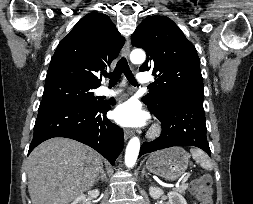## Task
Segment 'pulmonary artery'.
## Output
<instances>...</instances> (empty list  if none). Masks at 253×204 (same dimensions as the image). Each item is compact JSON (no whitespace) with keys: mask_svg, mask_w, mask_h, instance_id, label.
Listing matches in <instances>:
<instances>
[{"mask_svg":"<svg viewBox=\"0 0 253 204\" xmlns=\"http://www.w3.org/2000/svg\"><path fill=\"white\" fill-rule=\"evenodd\" d=\"M137 81L140 85L142 86H147L151 83V77L148 73H138L137 74ZM121 89L118 90H112V89H108L107 87H101L98 91L99 95L102 96H107V97H112V96H116L119 93H121Z\"/></svg>","mask_w":253,"mask_h":204,"instance_id":"pulmonary-artery-1","label":"pulmonary artery"}]
</instances>
